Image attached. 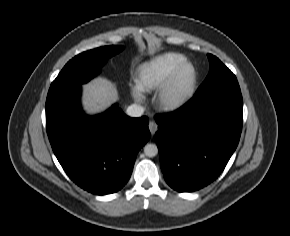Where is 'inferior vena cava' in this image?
<instances>
[{"mask_svg":"<svg viewBox=\"0 0 290 236\" xmlns=\"http://www.w3.org/2000/svg\"><path fill=\"white\" fill-rule=\"evenodd\" d=\"M143 113L144 108L137 104L130 105L126 110V114L130 117H140Z\"/></svg>","mask_w":290,"mask_h":236,"instance_id":"inferior-vena-cava-1","label":"inferior vena cava"}]
</instances>
